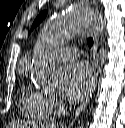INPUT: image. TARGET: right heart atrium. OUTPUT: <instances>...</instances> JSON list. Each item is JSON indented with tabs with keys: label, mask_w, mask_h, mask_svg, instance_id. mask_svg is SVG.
I'll use <instances>...</instances> for the list:
<instances>
[{
	"label": "right heart atrium",
	"mask_w": 125,
	"mask_h": 128,
	"mask_svg": "<svg viewBox=\"0 0 125 128\" xmlns=\"http://www.w3.org/2000/svg\"><path fill=\"white\" fill-rule=\"evenodd\" d=\"M43 95L52 112H58L63 108V103L57 95L53 93H43Z\"/></svg>",
	"instance_id": "right-heart-atrium-1"
}]
</instances>
